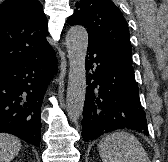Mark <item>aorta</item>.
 Here are the masks:
<instances>
[{"label": "aorta", "instance_id": "aorta-1", "mask_svg": "<svg viewBox=\"0 0 168 162\" xmlns=\"http://www.w3.org/2000/svg\"><path fill=\"white\" fill-rule=\"evenodd\" d=\"M88 33L82 26L71 27L66 35V48L70 63L66 96L67 114L76 122L82 114L86 94L85 59Z\"/></svg>", "mask_w": 168, "mask_h": 162}]
</instances>
